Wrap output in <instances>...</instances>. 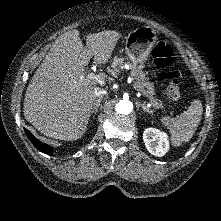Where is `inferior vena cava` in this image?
Returning a JSON list of instances; mask_svg holds the SVG:
<instances>
[{
	"label": "inferior vena cava",
	"instance_id": "602c4592",
	"mask_svg": "<svg viewBox=\"0 0 221 221\" xmlns=\"http://www.w3.org/2000/svg\"><path fill=\"white\" fill-rule=\"evenodd\" d=\"M107 94V92L99 87L95 88V96L102 97Z\"/></svg>",
	"mask_w": 221,
	"mask_h": 221
}]
</instances>
